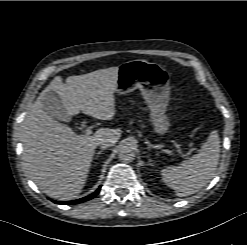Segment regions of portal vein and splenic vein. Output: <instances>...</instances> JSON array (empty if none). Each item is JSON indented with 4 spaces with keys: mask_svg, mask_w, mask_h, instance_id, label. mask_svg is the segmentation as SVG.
<instances>
[{
    "mask_svg": "<svg viewBox=\"0 0 247 245\" xmlns=\"http://www.w3.org/2000/svg\"><path fill=\"white\" fill-rule=\"evenodd\" d=\"M85 133H86L87 135L92 134V129H91V127H86V128H85ZM180 155H181V157H185V156H186L185 154H183V153H181V152H180Z\"/></svg>",
    "mask_w": 247,
    "mask_h": 245,
    "instance_id": "1",
    "label": "portal vein and splenic vein"
}]
</instances>
